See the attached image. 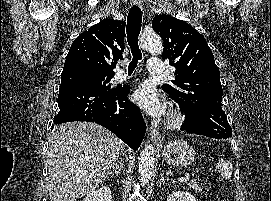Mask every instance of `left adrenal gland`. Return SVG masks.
Masks as SVG:
<instances>
[{"mask_svg": "<svg viewBox=\"0 0 271 201\" xmlns=\"http://www.w3.org/2000/svg\"><path fill=\"white\" fill-rule=\"evenodd\" d=\"M160 176H161L160 184H165L166 182L169 181V179H165L163 172L160 174Z\"/></svg>", "mask_w": 271, "mask_h": 201, "instance_id": "left-adrenal-gland-1", "label": "left adrenal gland"}]
</instances>
